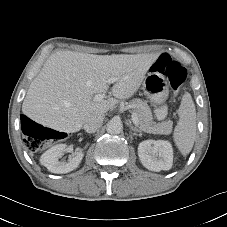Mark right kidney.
I'll use <instances>...</instances> for the list:
<instances>
[{
    "instance_id": "obj_1",
    "label": "right kidney",
    "mask_w": 227,
    "mask_h": 227,
    "mask_svg": "<svg viewBox=\"0 0 227 227\" xmlns=\"http://www.w3.org/2000/svg\"><path fill=\"white\" fill-rule=\"evenodd\" d=\"M66 148V144H58L48 149L40 158L41 164L52 173L65 174L73 171L80 164L84 154L78 148L68 160H59Z\"/></svg>"
}]
</instances>
